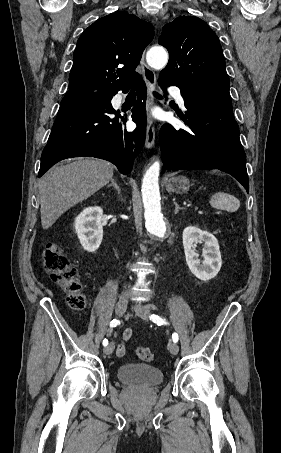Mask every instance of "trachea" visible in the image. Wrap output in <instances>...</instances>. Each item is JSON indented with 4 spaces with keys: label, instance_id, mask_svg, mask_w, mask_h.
Masks as SVG:
<instances>
[{
    "label": "trachea",
    "instance_id": "trachea-1",
    "mask_svg": "<svg viewBox=\"0 0 281 453\" xmlns=\"http://www.w3.org/2000/svg\"><path fill=\"white\" fill-rule=\"evenodd\" d=\"M130 95H131L132 97H134V96H135V92H133V91L130 92ZM154 95L157 96V97H161V95H159V93H157V92H154Z\"/></svg>",
    "mask_w": 281,
    "mask_h": 453
}]
</instances>
